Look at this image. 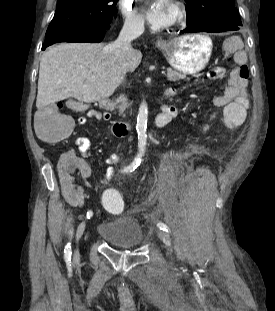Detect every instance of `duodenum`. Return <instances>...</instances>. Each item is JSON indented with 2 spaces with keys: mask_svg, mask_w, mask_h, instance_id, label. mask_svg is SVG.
I'll return each mask as SVG.
<instances>
[{
  "mask_svg": "<svg viewBox=\"0 0 275 311\" xmlns=\"http://www.w3.org/2000/svg\"><path fill=\"white\" fill-rule=\"evenodd\" d=\"M101 106L105 109H113L115 104L114 101L111 99H104L101 102ZM130 131V125L126 122H114L112 124V132L116 136H125L129 133Z\"/></svg>",
  "mask_w": 275,
  "mask_h": 311,
  "instance_id": "obj_1",
  "label": "duodenum"
}]
</instances>
